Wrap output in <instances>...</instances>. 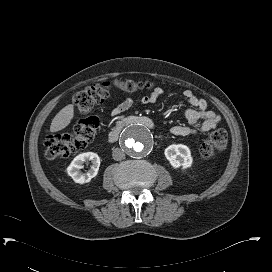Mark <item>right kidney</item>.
<instances>
[{
	"instance_id": "right-kidney-1",
	"label": "right kidney",
	"mask_w": 272,
	"mask_h": 272,
	"mask_svg": "<svg viewBox=\"0 0 272 272\" xmlns=\"http://www.w3.org/2000/svg\"><path fill=\"white\" fill-rule=\"evenodd\" d=\"M87 160L91 161L92 165L87 173L82 174L80 169L83 168V163ZM99 167L100 158L98 154L93 152H86L77 155L66 170L74 182L84 184L90 182L91 179L97 175Z\"/></svg>"
}]
</instances>
